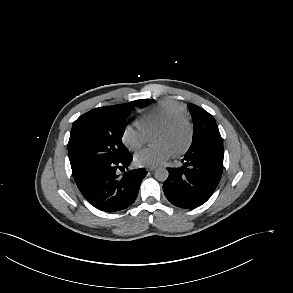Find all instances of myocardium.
Returning <instances> with one entry per match:
<instances>
[{
  "instance_id": "myocardium-1",
  "label": "myocardium",
  "mask_w": 293,
  "mask_h": 293,
  "mask_svg": "<svg viewBox=\"0 0 293 293\" xmlns=\"http://www.w3.org/2000/svg\"><path fill=\"white\" fill-rule=\"evenodd\" d=\"M185 127L187 129V140L185 144L178 150L174 151L176 156L185 154L191 147L194 139V128L191 121L186 117L176 118L158 127L159 130L173 131L179 127Z\"/></svg>"
}]
</instances>
